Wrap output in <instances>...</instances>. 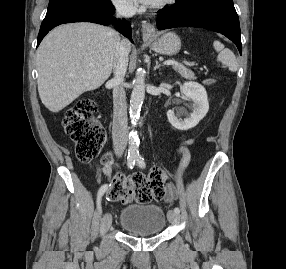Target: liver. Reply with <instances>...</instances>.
I'll return each instance as SVG.
<instances>
[{
    "label": "liver",
    "instance_id": "6515ba94",
    "mask_svg": "<svg viewBox=\"0 0 286 269\" xmlns=\"http://www.w3.org/2000/svg\"><path fill=\"white\" fill-rule=\"evenodd\" d=\"M128 51L131 44L128 40ZM118 34L108 27L81 22L56 27L37 50L38 92L45 107L57 113L110 76Z\"/></svg>",
    "mask_w": 286,
    "mask_h": 269
}]
</instances>
